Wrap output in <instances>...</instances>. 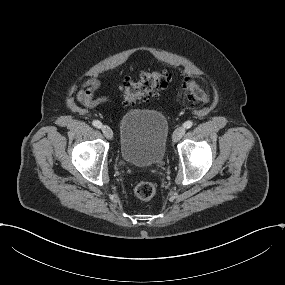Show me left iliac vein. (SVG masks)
I'll return each mask as SVG.
<instances>
[{
    "instance_id": "4c4485c4",
    "label": "left iliac vein",
    "mask_w": 285,
    "mask_h": 285,
    "mask_svg": "<svg viewBox=\"0 0 285 285\" xmlns=\"http://www.w3.org/2000/svg\"><path fill=\"white\" fill-rule=\"evenodd\" d=\"M184 133H185V128L178 127L173 133V136H172L173 142H178L181 139V137L184 135Z\"/></svg>"
}]
</instances>
